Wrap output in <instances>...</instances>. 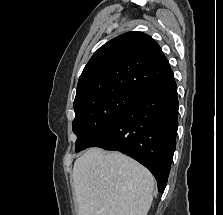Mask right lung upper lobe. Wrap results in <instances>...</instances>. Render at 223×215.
Returning a JSON list of instances; mask_svg holds the SVG:
<instances>
[{"label": "right lung upper lobe", "instance_id": "1", "mask_svg": "<svg viewBox=\"0 0 223 215\" xmlns=\"http://www.w3.org/2000/svg\"><path fill=\"white\" fill-rule=\"evenodd\" d=\"M173 78L156 41L142 32H127L104 44L91 57L79 77L74 107L115 90L141 95Z\"/></svg>", "mask_w": 223, "mask_h": 215}]
</instances>
